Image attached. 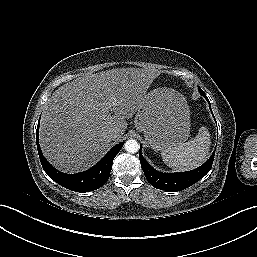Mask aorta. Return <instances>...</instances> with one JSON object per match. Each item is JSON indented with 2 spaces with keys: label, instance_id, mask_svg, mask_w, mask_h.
<instances>
[{
  "label": "aorta",
  "instance_id": "1",
  "mask_svg": "<svg viewBox=\"0 0 257 257\" xmlns=\"http://www.w3.org/2000/svg\"><path fill=\"white\" fill-rule=\"evenodd\" d=\"M124 148L129 153H136L139 150V144L136 140H127L124 144Z\"/></svg>",
  "mask_w": 257,
  "mask_h": 257
}]
</instances>
